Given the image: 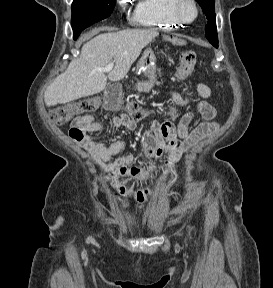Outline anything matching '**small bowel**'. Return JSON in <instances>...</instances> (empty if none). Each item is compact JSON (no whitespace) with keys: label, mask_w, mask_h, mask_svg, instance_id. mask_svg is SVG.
<instances>
[{"label":"small bowel","mask_w":273,"mask_h":288,"mask_svg":"<svg viewBox=\"0 0 273 288\" xmlns=\"http://www.w3.org/2000/svg\"><path fill=\"white\" fill-rule=\"evenodd\" d=\"M196 88L201 99L193 104H191L192 98L190 96H183L178 92L171 93L173 102L186 108L177 125L170 121L152 122L149 130L143 136L142 151L146 156L151 158L166 157L163 178L184 153L219 129V123L215 121L218 112L210 101V88L203 83L197 84ZM197 115L202 116L205 122L190 130V124ZM140 117V109L129 115L121 113L113 118V125L115 128L134 130ZM76 126L84 128V135L80 139H74L71 135L70 137L97 161L101 169L107 174L109 184L119 193L123 204H126V197L128 196H131L139 204L146 201L150 196V191H134L120 183L119 178L128 176L145 180L149 177L150 172L154 170V165L152 164L148 170L131 167L134 160L131 154L119 156L113 162H110L113 156L125 149L126 143L122 140L111 143H102L95 140L90 134L102 130L103 126L100 122L95 121L93 116L86 115L76 118L72 127Z\"/></svg>","instance_id":"1"}]
</instances>
